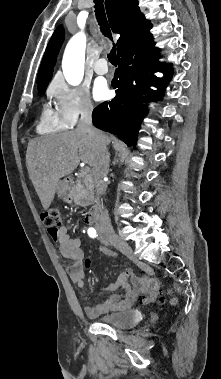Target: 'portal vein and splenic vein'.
Listing matches in <instances>:
<instances>
[{"mask_svg": "<svg viewBox=\"0 0 221 379\" xmlns=\"http://www.w3.org/2000/svg\"><path fill=\"white\" fill-rule=\"evenodd\" d=\"M89 171H90V169L89 168H83L82 170H81V175H87L88 173H89Z\"/></svg>", "mask_w": 221, "mask_h": 379, "instance_id": "18ae733b", "label": "portal vein and splenic vein"}]
</instances>
